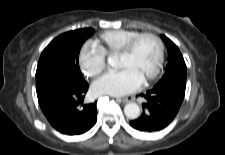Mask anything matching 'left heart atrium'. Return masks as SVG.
<instances>
[{"label": "left heart atrium", "mask_w": 225, "mask_h": 155, "mask_svg": "<svg viewBox=\"0 0 225 155\" xmlns=\"http://www.w3.org/2000/svg\"><path fill=\"white\" fill-rule=\"evenodd\" d=\"M143 80L129 68L108 72L95 80L91 90L94 95L123 96L138 90Z\"/></svg>", "instance_id": "39dd6f15"}]
</instances>
